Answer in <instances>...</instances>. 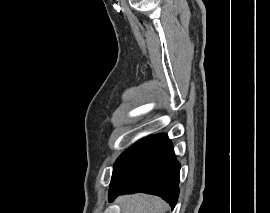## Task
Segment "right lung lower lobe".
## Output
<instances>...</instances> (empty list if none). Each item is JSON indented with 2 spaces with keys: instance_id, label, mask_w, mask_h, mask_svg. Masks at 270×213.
<instances>
[{
  "instance_id": "98d812e1",
  "label": "right lung lower lobe",
  "mask_w": 270,
  "mask_h": 213,
  "mask_svg": "<svg viewBox=\"0 0 270 213\" xmlns=\"http://www.w3.org/2000/svg\"><path fill=\"white\" fill-rule=\"evenodd\" d=\"M179 170L167 134L144 138L117 159L109 200L122 193L145 192L161 196L174 208L179 195Z\"/></svg>"
}]
</instances>
